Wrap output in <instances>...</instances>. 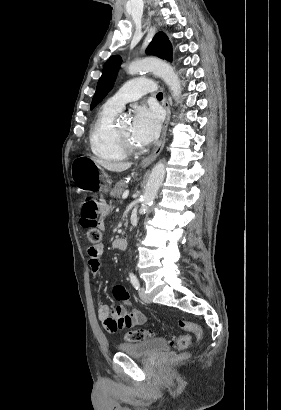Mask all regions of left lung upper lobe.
<instances>
[{
	"label": "left lung upper lobe",
	"mask_w": 281,
	"mask_h": 410,
	"mask_svg": "<svg viewBox=\"0 0 281 410\" xmlns=\"http://www.w3.org/2000/svg\"><path fill=\"white\" fill-rule=\"evenodd\" d=\"M146 53L155 55L161 59L172 61V45L167 39L165 33L158 32L154 36L153 40L146 49ZM120 63L121 58L118 55L110 57L105 63L102 76L98 81L96 92L91 102V109H93L112 89L119 71Z\"/></svg>",
	"instance_id": "obj_1"
}]
</instances>
